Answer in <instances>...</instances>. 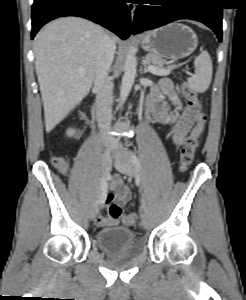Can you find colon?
<instances>
[{
  "instance_id": "obj_1",
  "label": "colon",
  "mask_w": 246,
  "mask_h": 300,
  "mask_svg": "<svg viewBox=\"0 0 246 300\" xmlns=\"http://www.w3.org/2000/svg\"><path fill=\"white\" fill-rule=\"evenodd\" d=\"M182 93L191 106L197 107L200 105L201 99L199 95L186 82L182 86ZM205 121H206V115L204 113H200L197 117L196 129L191 134H189V136L186 138L183 144V147L180 151L181 171L187 170L190 167V165L193 163L195 152L199 144L200 130L204 125ZM53 164L58 170L62 172H65L67 170V163L61 157H54ZM109 203H110L109 201H106V204ZM108 215L115 220L119 219L120 222L125 226H134L137 222L136 214L134 213L124 214L122 213L121 208L116 204L108 206Z\"/></svg>"
}]
</instances>
